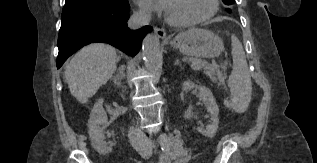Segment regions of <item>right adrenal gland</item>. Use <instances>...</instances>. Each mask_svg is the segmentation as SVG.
<instances>
[{
	"instance_id": "2a0ac1e0",
	"label": "right adrenal gland",
	"mask_w": 317,
	"mask_h": 163,
	"mask_svg": "<svg viewBox=\"0 0 317 163\" xmlns=\"http://www.w3.org/2000/svg\"><path fill=\"white\" fill-rule=\"evenodd\" d=\"M124 78L123 72L120 71V73L116 74L115 76L110 78V81H113L117 87L121 86V80Z\"/></svg>"
}]
</instances>
